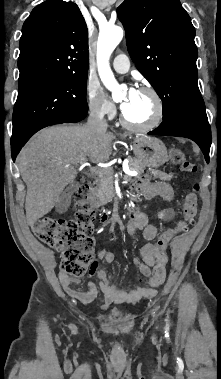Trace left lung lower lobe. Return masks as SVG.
<instances>
[{
	"label": "left lung lower lobe",
	"instance_id": "1",
	"mask_svg": "<svg viewBox=\"0 0 221 379\" xmlns=\"http://www.w3.org/2000/svg\"><path fill=\"white\" fill-rule=\"evenodd\" d=\"M148 134L190 138L199 145L206 161L209 162L211 129L207 118L184 113H174L163 119L159 127Z\"/></svg>",
	"mask_w": 221,
	"mask_h": 379
}]
</instances>
